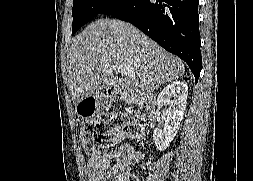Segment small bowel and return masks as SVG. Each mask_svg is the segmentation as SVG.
<instances>
[{
	"mask_svg": "<svg viewBox=\"0 0 253 181\" xmlns=\"http://www.w3.org/2000/svg\"><path fill=\"white\" fill-rule=\"evenodd\" d=\"M142 158L143 153L126 140L116 150L89 158L86 166L89 181H124L130 171V165Z\"/></svg>",
	"mask_w": 253,
	"mask_h": 181,
	"instance_id": "obj_1",
	"label": "small bowel"
}]
</instances>
